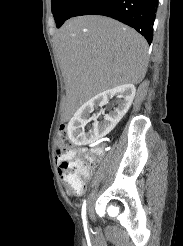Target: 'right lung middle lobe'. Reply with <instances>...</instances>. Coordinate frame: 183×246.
<instances>
[{"label":"right lung middle lobe","mask_w":183,"mask_h":246,"mask_svg":"<svg viewBox=\"0 0 183 246\" xmlns=\"http://www.w3.org/2000/svg\"><path fill=\"white\" fill-rule=\"evenodd\" d=\"M79 0H51L56 26L62 25Z\"/></svg>","instance_id":"1"}]
</instances>
